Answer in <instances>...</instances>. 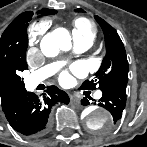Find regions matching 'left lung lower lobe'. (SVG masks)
Instances as JSON below:
<instances>
[{"instance_id": "obj_1", "label": "left lung lower lobe", "mask_w": 147, "mask_h": 147, "mask_svg": "<svg viewBox=\"0 0 147 147\" xmlns=\"http://www.w3.org/2000/svg\"><path fill=\"white\" fill-rule=\"evenodd\" d=\"M103 95L99 101V106L106 108L113 116V123H117L122 117L126 105V84H112L101 89ZM83 105H88L86 98L81 100Z\"/></svg>"}]
</instances>
